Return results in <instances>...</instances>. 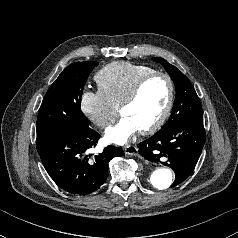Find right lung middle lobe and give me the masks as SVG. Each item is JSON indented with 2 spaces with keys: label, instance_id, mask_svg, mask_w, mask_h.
I'll return each mask as SVG.
<instances>
[{
  "label": "right lung middle lobe",
  "instance_id": "1",
  "mask_svg": "<svg viewBox=\"0 0 238 238\" xmlns=\"http://www.w3.org/2000/svg\"><path fill=\"white\" fill-rule=\"evenodd\" d=\"M96 61L76 62L68 66L48 89L37 118V140L65 129L89 127L81 112V96Z\"/></svg>",
  "mask_w": 238,
  "mask_h": 238
}]
</instances>
